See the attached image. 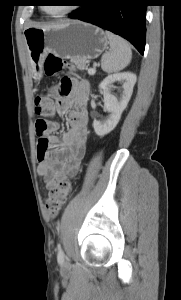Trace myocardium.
<instances>
[{"instance_id": "f54148a6", "label": "myocardium", "mask_w": 181, "mask_h": 300, "mask_svg": "<svg viewBox=\"0 0 181 300\" xmlns=\"http://www.w3.org/2000/svg\"><path fill=\"white\" fill-rule=\"evenodd\" d=\"M76 8H77V5H75V4H70V5H68V7H67L64 11H62V12H60V13H58V14H50V13H48V12L46 11V9H45L44 6L41 7V10H42L47 16H49V17H52V18H61V17H65V16L70 15L71 13H73V12L75 11Z\"/></svg>"}]
</instances>
